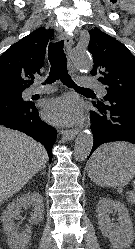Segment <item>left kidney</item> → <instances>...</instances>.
Wrapping results in <instances>:
<instances>
[{
  "label": "left kidney",
  "instance_id": "1",
  "mask_svg": "<svg viewBox=\"0 0 135 249\" xmlns=\"http://www.w3.org/2000/svg\"><path fill=\"white\" fill-rule=\"evenodd\" d=\"M113 211L118 214L119 225L112 223L109 218ZM97 213L99 229L115 249H125L132 244L135 238L133 224L124 204L104 198L97 204Z\"/></svg>",
  "mask_w": 135,
  "mask_h": 249
}]
</instances>
